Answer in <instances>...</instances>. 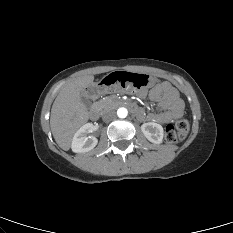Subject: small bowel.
I'll return each mask as SVG.
<instances>
[{
  "mask_svg": "<svg viewBox=\"0 0 233 233\" xmlns=\"http://www.w3.org/2000/svg\"><path fill=\"white\" fill-rule=\"evenodd\" d=\"M149 98L156 102L162 109L160 113H145L141 111L139 118H146L148 121L166 124L174 121L183 114L184 104L179 97L176 89L169 83H164L150 90ZM138 96L144 98L147 96V91L140 90Z\"/></svg>",
  "mask_w": 233,
  "mask_h": 233,
  "instance_id": "c3829d8e",
  "label": "small bowel"
}]
</instances>
